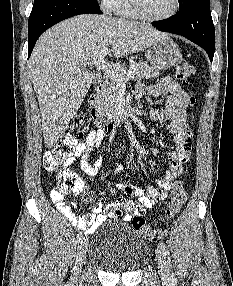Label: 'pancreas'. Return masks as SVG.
I'll use <instances>...</instances> for the list:
<instances>
[{
    "instance_id": "cf45deb5",
    "label": "pancreas",
    "mask_w": 233,
    "mask_h": 286,
    "mask_svg": "<svg viewBox=\"0 0 233 286\" xmlns=\"http://www.w3.org/2000/svg\"><path fill=\"white\" fill-rule=\"evenodd\" d=\"M118 71L124 75L133 72V76L137 79L155 78L160 75L157 69L152 68L147 63L130 61L129 69L121 67ZM120 82L108 75V82L105 88L101 91L99 101L96 108L101 118H114L118 106V91Z\"/></svg>"
}]
</instances>
